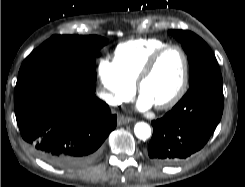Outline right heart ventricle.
<instances>
[{
	"instance_id": "e07e8e85",
	"label": "right heart ventricle",
	"mask_w": 245,
	"mask_h": 187,
	"mask_svg": "<svg viewBox=\"0 0 245 187\" xmlns=\"http://www.w3.org/2000/svg\"><path fill=\"white\" fill-rule=\"evenodd\" d=\"M168 45L157 38H138L120 43L114 51V62L121 73L135 84L137 77L153 53Z\"/></svg>"
}]
</instances>
